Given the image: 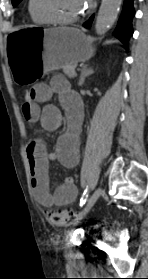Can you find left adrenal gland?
<instances>
[{"label": "left adrenal gland", "instance_id": "obj_1", "mask_svg": "<svg viewBox=\"0 0 148 279\" xmlns=\"http://www.w3.org/2000/svg\"><path fill=\"white\" fill-rule=\"evenodd\" d=\"M93 73H94V70L92 68H88V65L83 66L82 70H81V76H80L78 85L82 86L85 82V79L87 77H89L90 75H92Z\"/></svg>", "mask_w": 148, "mask_h": 279}]
</instances>
